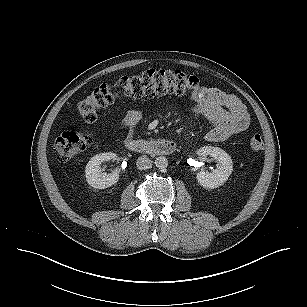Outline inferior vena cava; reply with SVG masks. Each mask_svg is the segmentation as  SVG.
Wrapping results in <instances>:
<instances>
[{"label": "inferior vena cava", "mask_w": 307, "mask_h": 307, "mask_svg": "<svg viewBox=\"0 0 307 307\" xmlns=\"http://www.w3.org/2000/svg\"><path fill=\"white\" fill-rule=\"evenodd\" d=\"M139 170H146L152 167V161L147 156H141L136 162Z\"/></svg>", "instance_id": "obj_1"}]
</instances>
